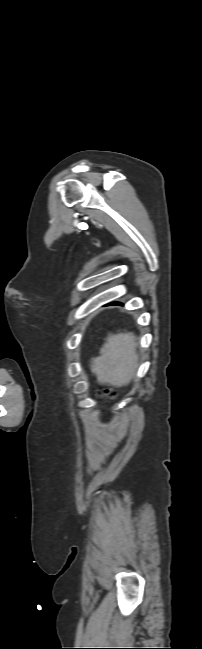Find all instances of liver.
Masks as SVG:
<instances>
[{"label":"liver","instance_id":"liver-1","mask_svg":"<svg viewBox=\"0 0 202 649\" xmlns=\"http://www.w3.org/2000/svg\"><path fill=\"white\" fill-rule=\"evenodd\" d=\"M137 337L130 332L108 334L100 355L90 361L98 382L125 386L135 376L138 366Z\"/></svg>","mask_w":202,"mask_h":649}]
</instances>
